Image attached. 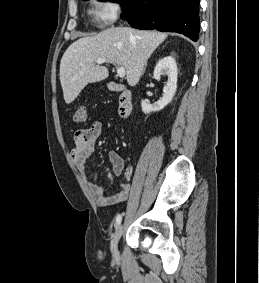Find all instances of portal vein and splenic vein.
I'll use <instances>...</instances> for the list:
<instances>
[{
  "label": "portal vein and splenic vein",
  "instance_id": "portal-vein-and-splenic-vein-1",
  "mask_svg": "<svg viewBox=\"0 0 259 283\" xmlns=\"http://www.w3.org/2000/svg\"><path fill=\"white\" fill-rule=\"evenodd\" d=\"M105 62H110L109 60L105 59V58H99L96 63L98 65L100 64H103ZM112 63V62H111ZM117 75L120 77V78H123L125 77V68L124 67H117Z\"/></svg>",
  "mask_w": 259,
  "mask_h": 283
}]
</instances>
